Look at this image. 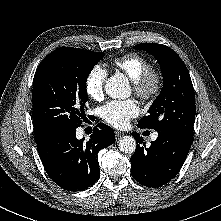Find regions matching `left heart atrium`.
Masks as SVG:
<instances>
[{
  "label": "left heart atrium",
  "mask_w": 221,
  "mask_h": 221,
  "mask_svg": "<svg viewBox=\"0 0 221 221\" xmlns=\"http://www.w3.org/2000/svg\"><path fill=\"white\" fill-rule=\"evenodd\" d=\"M139 107L132 100H112L99 108L100 117L115 128H123L128 125L130 119L139 115Z\"/></svg>",
  "instance_id": "obj_1"
}]
</instances>
